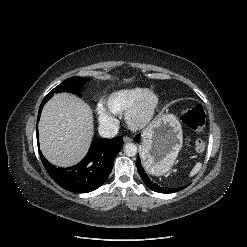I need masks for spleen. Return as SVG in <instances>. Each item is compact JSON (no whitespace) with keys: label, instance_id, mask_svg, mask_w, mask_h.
Here are the masks:
<instances>
[{"label":"spleen","instance_id":"spleen-1","mask_svg":"<svg viewBox=\"0 0 247 247\" xmlns=\"http://www.w3.org/2000/svg\"><path fill=\"white\" fill-rule=\"evenodd\" d=\"M201 169V163H196V165L194 166V168L192 169V171L190 172V175L193 176L196 173H198V171Z\"/></svg>","mask_w":247,"mask_h":247}]
</instances>
